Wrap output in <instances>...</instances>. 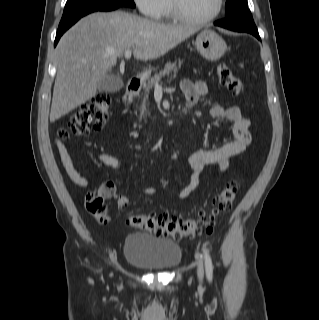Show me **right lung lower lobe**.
<instances>
[{
	"label": "right lung lower lobe",
	"instance_id": "obj_1",
	"mask_svg": "<svg viewBox=\"0 0 319 320\" xmlns=\"http://www.w3.org/2000/svg\"><path fill=\"white\" fill-rule=\"evenodd\" d=\"M118 7L120 6H117V7H113V8H109V9H103V10H96V11H111V10H114V9H117ZM94 12V11H92ZM91 13V12H89ZM88 14V13H87ZM86 15V14H85ZM84 15L70 21L68 24L66 25H63V26H59L58 27V31H57V34H56V38H55V42H54V46H56V44L58 43L61 35L69 28L71 27L75 22H77L81 17H83Z\"/></svg>",
	"mask_w": 319,
	"mask_h": 320
}]
</instances>
